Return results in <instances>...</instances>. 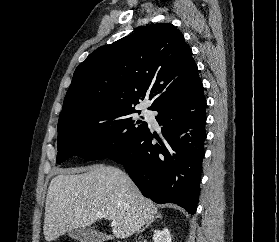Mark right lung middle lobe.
Listing matches in <instances>:
<instances>
[{"label": "right lung middle lobe", "instance_id": "right-lung-middle-lobe-1", "mask_svg": "<svg viewBox=\"0 0 279 242\" xmlns=\"http://www.w3.org/2000/svg\"><path fill=\"white\" fill-rule=\"evenodd\" d=\"M127 110L101 118L76 119L58 124L57 163L76 155L98 160L117 154L144 134L146 122L135 120Z\"/></svg>", "mask_w": 279, "mask_h": 242}]
</instances>
